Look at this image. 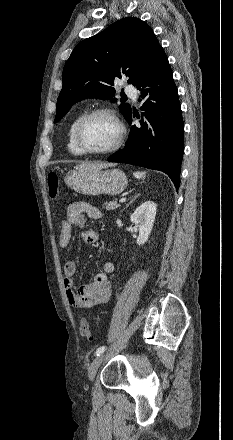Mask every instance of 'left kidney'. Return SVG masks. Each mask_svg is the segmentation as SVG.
I'll return each instance as SVG.
<instances>
[{
  "label": "left kidney",
  "instance_id": "1",
  "mask_svg": "<svg viewBox=\"0 0 233 440\" xmlns=\"http://www.w3.org/2000/svg\"><path fill=\"white\" fill-rule=\"evenodd\" d=\"M155 216L156 204L151 201L141 204L130 216V221L139 229L137 245H144L147 242L153 228Z\"/></svg>",
  "mask_w": 233,
  "mask_h": 440
}]
</instances>
